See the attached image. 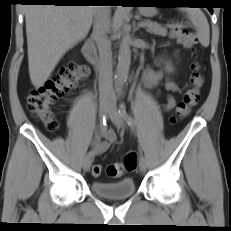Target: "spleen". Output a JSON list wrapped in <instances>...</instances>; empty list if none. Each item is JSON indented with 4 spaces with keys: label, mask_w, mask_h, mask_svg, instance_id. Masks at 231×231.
Wrapping results in <instances>:
<instances>
[{
    "label": "spleen",
    "mask_w": 231,
    "mask_h": 231,
    "mask_svg": "<svg viewBox=\"0 0 231 231\" xmlns=\"http://www.w3.org/2000/svg\"><path fill=\"white\" fill-rule=\"evenodd\" d=\"M182 11L187 13L190 21L196 26L197 38L201 45L208 47L210 42V29L204 13L198 8L189 7L182 8Z\"/></svg>",
    "instance_id": "spleen-1"
}]
</instances>
